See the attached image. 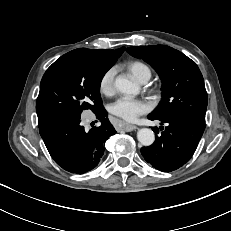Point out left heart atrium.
<instances>
[{
    "mask_svg": "<svg viewBox=\"0 0 231 231\" xmlns=\"http://www.w3.org/2000/svg\"><path fill=\"white\" fill-rule=\"evenodd\" d=\"M150 108V104L145 101L123 96L112 103L110 111L121 119L134 121L140 115L147 113Z\"/></svg>",
    "mask_w": 231,
    "mask_h": 231,
    "instance_id": "left-heart-atrium-1",
    "label": "left heart atrium"
}]
</instances>
